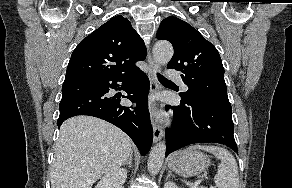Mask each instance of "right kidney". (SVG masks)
Listing matches in <instances>:
<instances>
[{
  "label": "right kidney",
  "mask_w": 292,
  "mask_h": 188,
  "mask_svg": "<svg viewBox=\"0 0 292 188\" xmlns=\"http://www.w3.org/2000/svg\"><path fill=\"white\" fill-rule=\"evenodd\" d=\"M127 178V171L117 169L105 175L96 185L95 188H123Z\"/></svg>",
  "instance_id": "1"
}]
</instances>
